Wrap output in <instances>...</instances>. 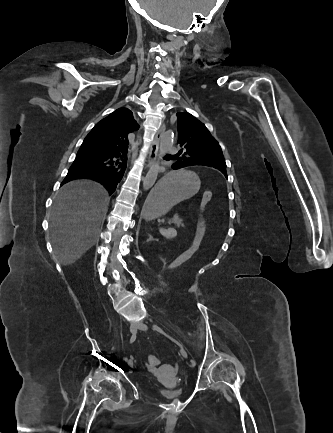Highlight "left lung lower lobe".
I'll return each instance as SVG.
<instances>
[{
    "label": "left lung lower lobe",
    "mask_w": 333,
    "mask_h": 433,
    "mask_svg": "<svg viewBox=\"0 0 333 433\" xmlns=\"http://www.w3.org/2000/svg\"><path fill=\"white\" fill-rule=\"evenodd\" d=\"M175 165L172 166L174 168ZM155 207V200L153 198H147L145 205H144V214L147 216L149 213L153 211Z\"/></svg>",
    "instance_id": "0a47b994"
}]
</instances>
